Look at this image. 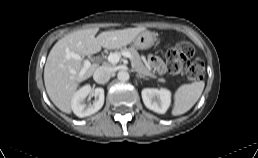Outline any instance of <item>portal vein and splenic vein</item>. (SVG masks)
I'll return each instance as SVG.
<instances>
[{"label": "portal vein and splenic vein", "mask_w": 258, "mask_h": 158, "mask_svg": "<svg viewBox=\"0 0 258 158\" xmlns=\"http://www.w3.org/2000/svg\"><path fill=\"white\" fill-rule=\"evenodd\" d=\"M122 55L124 57L131 59V54L129 52H123ZM66 58L67 59L73 58V59L83 62V69L81 70L80 74H83L85 72V70L91 66V63L88 59H83L79 54L74 53V52H67ZM119 59H120V56L116 53L110 54L108 56V61L111 64H117L119 62ZM131 65H132V68H134L133 63H131Z\"/></svg>", "instance_id": "obj_1"}]
</instances>
